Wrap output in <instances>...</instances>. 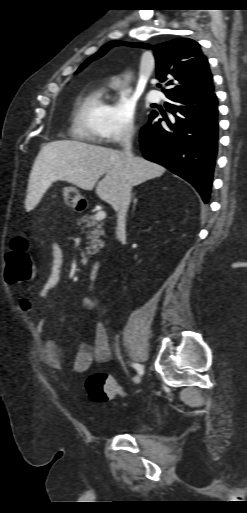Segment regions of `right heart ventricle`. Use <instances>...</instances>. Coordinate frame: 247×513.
Segmentation results:
<instances>
[{
	"mask_svg": "<svg viewBox=\"0 0 247 513\" xmlns=\"http://www.w3.org/2000/svg\"><path fill=\"white\" fill-rule=\"evenodd\" d=\"M108 107L104 85L94 86L79 95L73 108L71 135L82 141L100 142Z\"/></svg>",
	"mask_w": 247,
	"mask_h": 513,
	"instance_id": "1",
	"label": "right heart ventricle"
}]
</instances>
